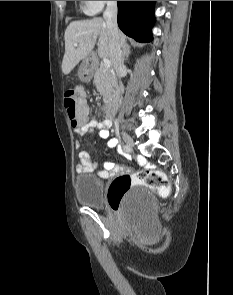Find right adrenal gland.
<instances>
[{"label":"right adrenal gland","mask_w":233,"mask_h":295,"mask_svg":"<svg viewBox=\"0 0 233 295\" xmlns=\"http://www.w3.org/2000/svg\"><path fill=\"white\" fill-rule=\"evenodd\" d=\"M131 54L130 46H126L123 48V60L126 61Z\"/></svg>","instance_id":"right-adrenal-gland-1"}]
</instances>
